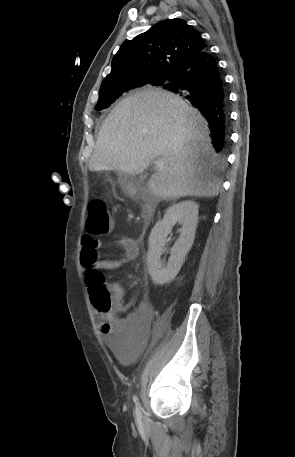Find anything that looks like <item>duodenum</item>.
Returning <instances> with one entry per match:
<instances>
[{
  "mask_svg": "<svg viewBox=\"0 0 295 457\" xmlns=\"http://www.w3.org/2000/svg\"><path fill=\"white\" fill-rule=\"evenodd\" d=\"M154 215V208L151 204H145L142 212V219L144 224H148Z\"/></svg>",
  "mask_w": 295,
  "mask_h": 457,
  "instance_id": "1",
  "label": "duodenum"
}]
</instances>
